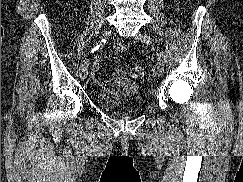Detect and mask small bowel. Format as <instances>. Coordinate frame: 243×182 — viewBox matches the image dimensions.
Segmentation results:
<instances>
[{"mask_svg": "<svg viewBox=\"0 0 243 182\" xmlns=\"http://www.w3.org/2000/svg\"><path fill=\"white\" fill-rule=\"evenodd\" d=\"M121 47L120 45H115L114 49L115 50H119ZM100 67H101V58H96L95 61L92 64V72L94 75V81L98 86H101L102 83L99 80V78L97 77L99 71H100ZM111 83L114 86V89L111 90L113 92H130L134 89V84L127 79L123 72L121 71H117L113 74L112 78H111Z\"/></svg>", "mask_w": 243, "mask_h": 182, "instance_id": "obj_1", "label": "small bowel"}]
</instances>
